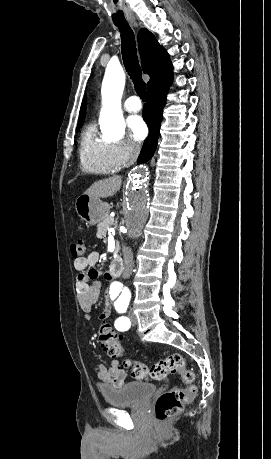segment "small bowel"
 <instances>
[{"label":"small bowel","mask_w":271,"mask_h":459,"mask_svg":"<svg viewBox=\"0 0 271 459\" xmlns=\"http://www.w3.org/2000/svg\"><path fill=\"white\" fill-rule=\"evenodd\" d=\"M100 259L98 252H90L86 257L76 258L74 269L78 272L77 276V294L79 297L80 308L85 320H90L93 306L97 303L100 296L101 283L99 279L106 277V274L95 268ZM111 313V304L108 299L104 302V307L99 315V321L107 320ZM97 377L101 382V387L119 388L125 384L127 370L123 368L118 361H112L110 366L99 363L95 367Z\"/></svg>","instance_id":"1"}]
</instances>
